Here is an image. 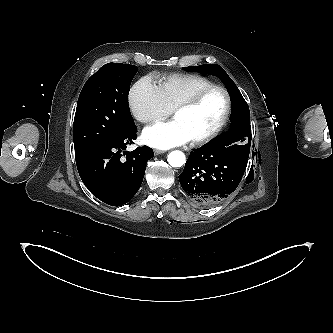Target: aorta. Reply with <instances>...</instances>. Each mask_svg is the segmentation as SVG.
<instances>
[{"label": "aorta", "instance_id": "762f6f07", "mask_svg": "<svg viewBox=\"0 0 333 333\" xmlns=\"http://www.w3.org/2000/svg\"><path fill=\"white\" fill-rule=\"evenodd\" d=\"M167 161L172 167H181L185 164L186 157L183 152L175 150L169 153Z\"/></svg>", "mask_w": 333, "mask_h": 333}]
</instances>
